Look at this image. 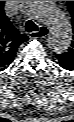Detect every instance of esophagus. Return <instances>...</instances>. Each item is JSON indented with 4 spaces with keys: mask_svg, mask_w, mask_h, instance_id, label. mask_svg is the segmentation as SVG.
<instances>
[{
    "mask_svg": "<svg viewBox=\"0 0 74 122\" xmlns=\"http://www.w3.org/2000/svg\"><path fill=\"white\" fill-rule=\"evenodd\" d=\"M48 28L46 26H40L38 31L31 32L30 37L31 38H44L48 35Z\"/></svg>",
    "mask_w": 74,
    "mask_h": 122,
    "instance_id": "1",
    "label": "esophagus"
}]
</instances>
